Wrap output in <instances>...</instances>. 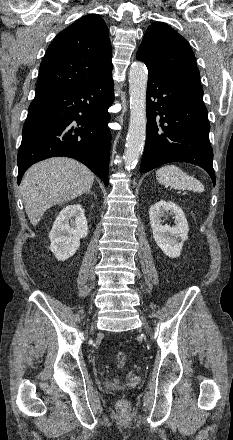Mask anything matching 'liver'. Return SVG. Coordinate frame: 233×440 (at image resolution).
<instances>
[{"instance_id":"obj_1","label":"liver","mask_w":233,"mask_h":440,"mask_svg":"<svg viewBox=\"0 0 233 440\" xmlns=\"http://www.w3.org/2000/svg\"><path fill=\"white\" fill-rule=\"evenodd\" d=\"M94 178L85 165L65 157L50 158L30 167L20 189L31 224L36 226L50 207L89 191Z\"/></svg>"}]
</instances>
